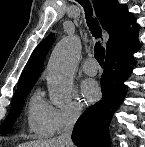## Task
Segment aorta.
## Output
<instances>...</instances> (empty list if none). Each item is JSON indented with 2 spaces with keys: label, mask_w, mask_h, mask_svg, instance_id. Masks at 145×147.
Wrapping results in <instances>:
<instances>
[{
  "label": "aorta",
  "mask_w": 145,
  "mask_h": 147,
  "mask_svg": "<svg viewBox=\"0 0 145 147\" xmlns=\"http://www.w3.org/2000/svg\"><path fill=\"white\" fill-rule=\"evenodd\" d=\"M80 54L81 43L77 36L67 37L55 46L47 72L48 89L54 104L60 105L69 98Z\"/></svg>",
  "instance_id": "762f6f07"
}]
</instances>
